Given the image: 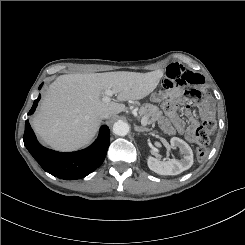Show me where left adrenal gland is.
I'll use <instances>...</instances> for the list:
<instances>
[{
  "instance_id": "a2214340",
  "label": "left adrenal gland",
  "mask_w": 245,
  "mask_h": 245,
  "mask_svg": "<svg viewBox=\"0 0 245 245\" xmlns=\"http://www.w3.org/2000/svg\"><path fill=\"white\" fill-rule=\"evenodd\" d=\"M135 131L137 132H149L150 130L148 128H145V127H139V126H136L134 127Z\"/></svg>"
}]
</instances>
